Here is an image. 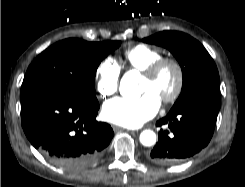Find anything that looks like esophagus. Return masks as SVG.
<instances>
[{"label":"esophagus","mask_w":245,"mask_h":187,"mask_svg":"<svg viewBox=\"0 0 245 187\" xmlns=\"http://www.w3.org/2000/svg\"><path fill=\"white\" fill-rule=\"evenodd\" d=\"M113 130L114 131H121V130H126V129L119 127V126H113Z\"/></svg>","instance_id":"1"}]
</instances>
